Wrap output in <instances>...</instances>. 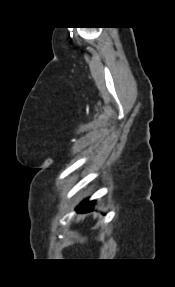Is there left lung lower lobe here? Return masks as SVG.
<instances>
[{"instance_id": "left-lung-lower-lobe-1", "label": "left lung lower lobe", "mask_w": 175, "mask_h": 287, "mask_svg": "<svg viewBox=\"0 0 175 287\" xmlns=\"http://www.w3.org/2000/svg\"><path fill=\"white\" fill-rule=\"evenodd\" d=\"M93 209V201L88 202V201H83L77 208L76 210L78 212H87Z\"/></svg>"}]
</instances>
